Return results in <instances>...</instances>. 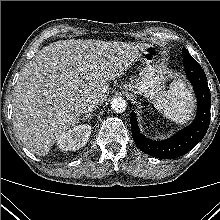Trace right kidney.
Returning <instances> with one entry per match:
<instances>
[{"mask_svg":"<svg viewBox=\"0 0 220 220\" xmlns=\"http://www.w3.org/2000/svg\"><path fill=\"white\" fill-rule=\"evenodd\" d=\"M90 134V125H78L66 132H63L57 138V145L62 151H76L86 145Z\"/></svg>","mask_w":220,"mask_h":220,"instance_id":"right-kidney-1","label":"right kidney"}]
</instances>
